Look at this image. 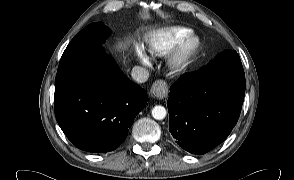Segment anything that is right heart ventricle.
<instances>
[{
    "label": "right heart ventricle",
    "instance_id": "1",
    "mask_svg": "<svg viewBox=\"0 0 294 180\" xmlns=\"http://www.w3.org/2000/svg\"><path fill=\"white\" fill-rule=\"evenodd\" d=\"M186 36L178 29H170L152 34L145 41L148 52L156 57L168 55Z\"/></svg>",
    "mask_w": 294,
    "mask_h": 180
}]
</instances>
